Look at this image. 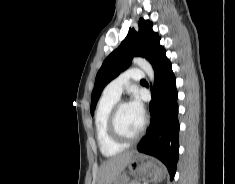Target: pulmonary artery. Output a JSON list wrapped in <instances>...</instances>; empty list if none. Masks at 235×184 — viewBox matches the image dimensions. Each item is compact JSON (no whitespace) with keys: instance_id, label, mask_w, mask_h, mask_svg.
<instances>
[{"instance_id":"1","label":"pulmonary artery","mask_w":235,"mask_h":184,"mask_svg":"<svg viewBox=\"0 0 235 184\" xmlns=\"http://www.w3.org/2000/svg\"><path fill=\"white\" fill-rule=\"evenodd\" d=\"M142 73V69H131L121 73L105 86L103 94L118 99L129 80L138 79Z\"/></svg>"}]
</instances>
